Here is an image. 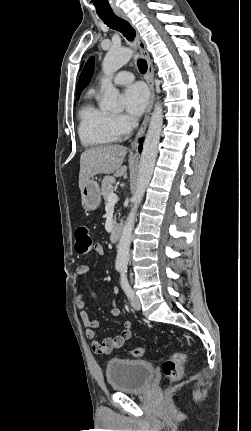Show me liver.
Here are the masks:
<instances>
[{
	"instance_id": "6515ba94",
	"label": "liver",
	"mask_w": 251,
	"mask_h": 431,
	"mask_svg": "<svg viewBox=\"0 0 251 431\" xmlns=\"http://www.w3.org/2000/svg\"><path fill=\"white\" fill-rule=\"evenodd\" d=\"M127 148L122 145H104L93 147L81 154L79 188L80 190L93 176L97 174H114L121 177L126 172L122 166Z\"/></svg>"
}]
</instances>
